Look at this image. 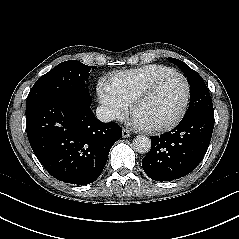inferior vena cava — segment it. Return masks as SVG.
Masks as SVG:
<instances>
[{"mask_svg": "<svg viewBox=\"0 0 239 239\" xmlns=\"http://www.w3.org/2000/svg\"><path fill=\"white\" fill-rule=\"evenodd\" d=\"M96 117L102 122H111L116 119L113 110L106 106H99L96 109Z\"/></svg>", "mask_w": 239, "mask_h": 239, "instance_id": "inferior-vena-cava-1", "label": "inferior vena cava"}]
</instances>
